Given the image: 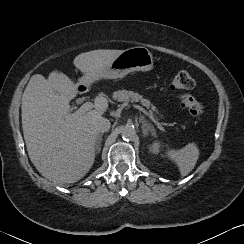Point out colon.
<instances>
[{
  "instance_id": "5ec220e1",
  "label": "colon",
  "mask_w": 244,
  "mask_h": 244,
  "mask_svg": "<svg viewBox=\"0 0 244 244\" xmlns=\"http://www.w3.org/2000/svg\"><path fill=\"white\" fill-rule=\"evenodd\" d=\"M194 86V78L185 70L178 72L171 83V88L178 92V99L182 107L196 119H202L205 115L206 106L189 93V90L193 89Z\"/></svg>"
}]
</instances>
